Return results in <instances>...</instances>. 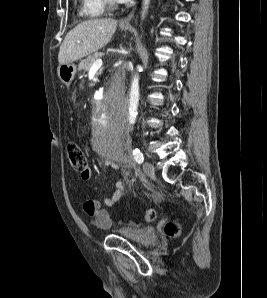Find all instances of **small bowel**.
<instances>
[{
  "mask_svg": "<svg viewBox=\"0 0 267 298\" xmlns=\"http://www.w3.org/2000/svg\"><path fill=\"white\" fill-rule=\"evenodd\" d=\"M111 167L118 169V166L114 163L110 164ZM91 177V170L88 169V174L82 176L84 180H88ZM125 196V186L123 180L119 179L115 183V191L104 200V204L108 207L114 206L118 200ZM83 212L90 219L91 223L101 229H109L113 226V219L110 216L108 210L102 206V203L98 199H89L83 204ZM127 232V230L122 229Z\"/></svg>",
  "mask_w": 267,
  "mask_h": 298,
  "instance_id": "small-bowel-1",
  "label": "small bowel"
}]
</instances>
